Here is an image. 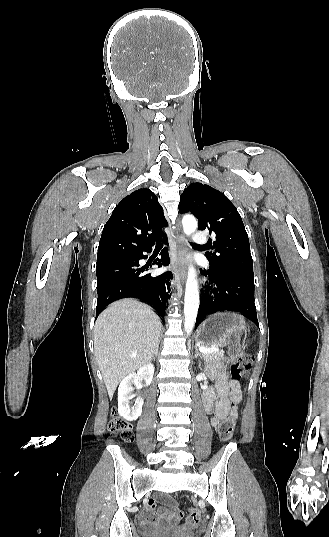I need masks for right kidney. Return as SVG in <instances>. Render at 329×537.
I'll list each match as a JSON object with an SVG mask.
<instances>
[{
	"label": "right kidney",
	"mask_w": 329,
	"mask_h": 537,
	"mask_svg": "<svg viewBox=\"0 0 329 537\" xmlns=\"http://www.w3.org/2000/svg\"><path fill=\"white\" fill-rule=\"evenodd\" d=\"M154 375V366L147 364L141 367L137 373H130L124 377L118 388V413L128 421L136 420L142 413L143 399L138 398L134 407H130V393L132 385H138L140 380H144L146 385H150Z\"/></svg>",
	"instance_id": "1"
}]
</instances>
